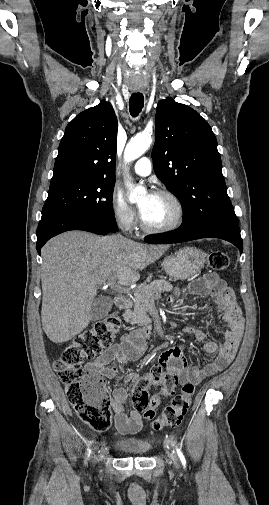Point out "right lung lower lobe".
<instances>
[{"instance_id":"right-lung-lower-lobe-1","label":"right lung lower lobe","mask_w":269,"mask_h":505,"mask_svg":"<svg viewBox=\"0 0 269 505\" xmlns=\"http://www.w3.org/2000/svg\"><path fill=\"white\" fill-rule=\"evenodd\" d=\"M69 230H83L95 234L106 235L111 231L102 225L85 218L68 214H54L41 218L37 228L36 249L41 254L42 246L53 236Z\"/></svg>"}]
</instances>
